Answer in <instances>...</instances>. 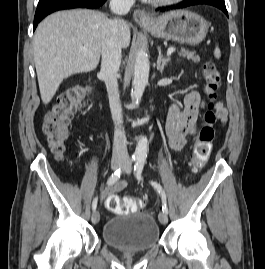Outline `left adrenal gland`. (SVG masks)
Wrapping results in <instances>:
<instances>
[{"label":"left adrenal gland","instance_id":"a2214340","mask_svg":"<svg viewBox=\"0 0 265 269\" xmlns=\"http://www.w3.org/2000/svg\"><path fill=\"white\" fill-rule=\"evenodd\" d=\"M169 62H170V58L163 57L161 53V49L158 48L157 69L162 73L165 66H167Z\"/></svg>","mask_w":265,"mask_h":269}]
</instances>
